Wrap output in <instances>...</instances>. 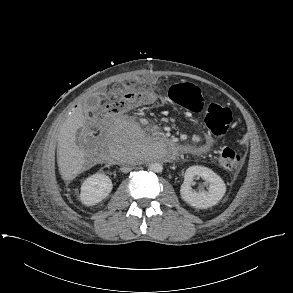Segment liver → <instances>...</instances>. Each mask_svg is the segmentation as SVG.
I'll return each mask as SVG.
<instances>
[{
  "instance_id": "6515ba94",
  "label": "liver",
  "mask_w": 293,
  "mask_h": 293,
  "mask_svg": "<svg viewBox=\"0 0 293 293\" xmlns=\"http://www.w3.org/2000/svg\"><path fill=\"white\" fill-rule=\"evenodd\" d=\"M85 117L82 107L72 111L62 124L57 144V163L63 180H73L84 171L85 154L76 144V132L83 127Z\"/></svg>"
}]
</instances>
